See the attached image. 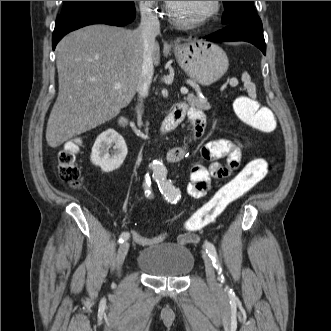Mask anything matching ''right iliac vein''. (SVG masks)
Instances as JSON below:
<instances>
[{"label": "right iliac vein", "mask_w": 331, "mask_h": 331, "mask_svg": "<svg viewBox=\"0 0 331 331\" xmlns=\"http://www.w3.org/2000/svg\"><path fill=\"white\" fill-rule=\"evenodd\" d=\"M128 250H129V243L127 241H125L120 245V247L118 249V254H117L118 269L121 268V266L125 260V257L128 253Z\"/></svg>", "instance_id": "1"}]
</instances>
